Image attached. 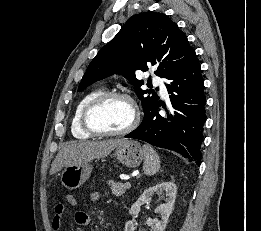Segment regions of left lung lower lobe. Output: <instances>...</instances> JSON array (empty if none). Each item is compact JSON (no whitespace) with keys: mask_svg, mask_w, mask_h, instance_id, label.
<instances>
[{"mask_svg":"<svg viewBox=\"0 0 261 231\" xmlns=\"http://www.w3.org/2000/svg\"><path fill=\"white\" fill-rule=\"evenodd\" d=\"M166 85L171 110L166 116L160 101L144 113L142 123L125 137L143 140L154 146L173 150L190 162L201 164V144L206 121V97L201 67L196 55L178 72L170 75Z\"/></svg>","mask_w":261,"mask_h":231,"instance_id":"1","label":"left lung lower lobe"}]
</instances>
